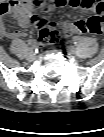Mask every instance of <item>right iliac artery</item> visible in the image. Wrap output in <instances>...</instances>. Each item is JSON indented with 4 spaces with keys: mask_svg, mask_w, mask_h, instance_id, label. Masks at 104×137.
I'll return each mask as SVG.
<instances>
[{
    "mask_svg": "<svg viewBox=\"0 0 104 137\" xmlns=\"http://www.w3.org/2000/svg\"><path fill=\"white\" fill-rule=\"evenodd\" d=\"M29 45H30L29 51H30L31 53L37 51V45H36V42H35L34 40H31V41L29 42Z\"/></svg>",
    "mask_w": 104,
    "mask_h": 137,
    "instance_id": "82829eb1",
    "label": "right iliac artery"
}]
</instances>
